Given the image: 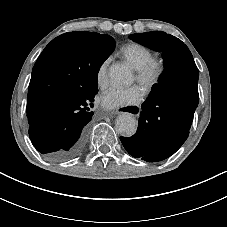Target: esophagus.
<instances>
[{
	"label": "esophagus",
	"mask_w": 227,
	"mask_h": 227,
	"mask_svg": "<svg viewBox=\"0 0 227 227\" xmlns=\"http://www.w3.org/2000/svg\"><path fill=\"white\" fill-rule=\"evenodd\" d=\"M141 111V107L139 105H125L120 106L117 108L118 114H132L134 116H137Z\"/></svg>",
	"instance_id": "34e87169"
}]
</instances>
